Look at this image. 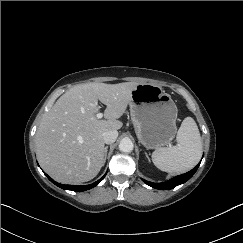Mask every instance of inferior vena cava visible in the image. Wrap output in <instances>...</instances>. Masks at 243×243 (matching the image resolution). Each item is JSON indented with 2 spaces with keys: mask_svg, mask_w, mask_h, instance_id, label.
<instances>
[{
  "mask_svg": "<svg viewBox=\"0 0 243 243\" xmlns=\"http://www.w3.org/2000/svg\"><path fill=\"white\" fill-rule=\"evenodd\" d=\"M117 137H118V132L115 130H110L103 133V141L106 144L114 143Z\"/></svg>",
  "mask_w": 243,
  "mask_h": 243,
  "instance_id": "obj_1",
  "label": "inferior vena cava"
}]
</instances>
